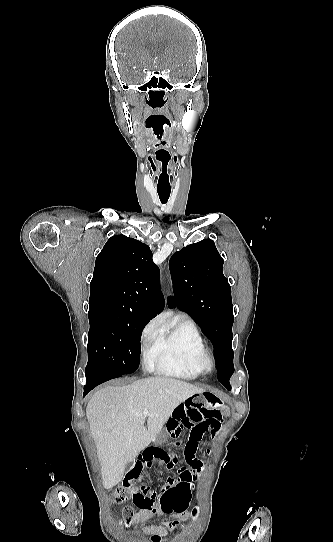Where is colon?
<instances>
[{
    "mask_svg": "<svg viewBox=\"0 0 333 542\" xmlns=\"http://www.w3.org/2000/svg\"><path fill=\"white\" fill-rule=\"evenodd\" d=\"M177 455V454H176ZM202 465V462L200 459L195 458L191 460L190 464L188 466H184L182 469V475L181 479L183 480H190L191 474L193 472V468L198 469ZM198 478L201 476L199 473L196 475ZM201 489V488H200ZM131 489H117L115 494V502L116 503H122L130 498H132L131 495ZM162 508L164 511H166V514L168 516H175V515H181L182 512L185 510L187 511V515L192 514L195 517L197 514L196 509H193L190 507V503L195 502L194 492L190 488L189 483H182L180 487H172L171 489H164L162 494ZM180 500V501H178ZM178 501V502H177ZM177 503V504H176ZM124 509L126 512L131 513L134 511L135 506L133 503L128 502L125 504ZM124 518H127V515H124ZM187 523L193 522L192 516L186 517ZM151 538H154V535H151Z\"/></svg>",
    "mask_w": 333,
    "mask_h": 542,
    "instance_id": "5ec220e1",
    "label": "colon"
}]
</instances>
